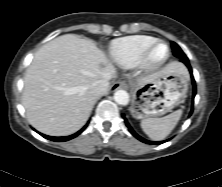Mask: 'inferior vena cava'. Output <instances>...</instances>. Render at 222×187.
<instances>
[{"mask_svg":"<svg viewBox=\"0 0 222 187\" xmlns=\"http://www.w3.org/2000/svg\"><path fill=\"white\" fill-rule=\"evenodd\" d=\"M109 87L107 79L97 80L91 84V92L96 96H101L106 93Z\"/></svg>","mask_w":222,"mask_h":187,"instance_id":"602c4592","label":"inferior vena cava"}]
</instances>
